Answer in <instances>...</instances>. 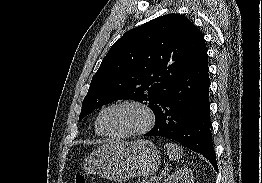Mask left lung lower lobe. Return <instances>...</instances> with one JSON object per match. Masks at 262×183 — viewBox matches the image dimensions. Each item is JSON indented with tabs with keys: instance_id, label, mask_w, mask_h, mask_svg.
<instances>
[{
	"instance_id": "1",
	"label": "left lung lower lobe",
	"mask_w": 262,
	"mask_h": 183,
	"mask_svg": "<svg viewBox=\"0 0 262 183\" xmlns=\"http://www.w3.org/2000/svg\"><path fill=\"white\" fill-rule=\"evenodd\" d=\"M207 48L177 78L159 106L156 124L145 135L175 140L218 166L212 143Z\"/></svg>"
}]
</instances>
